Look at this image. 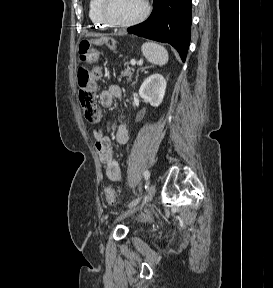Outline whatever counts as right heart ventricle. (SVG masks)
<instances>
[{
    "instance_id": "right-heart-ventricle-1",
    "label": "right heart ventricle",
    "mask_w": 273,
    "mask_h": 288,
    "mask_svg": "<svg viewBox=\"0 0 273 288\" xmlns=\"http://www.w3.org/2000/svg\"><path fill=\"white\" fill-rule=\"evenodd\" d=\"M100 0H90L89 2V17L92 23L98 27H106L107 25L99 15Z\"/></svg>"
}]
</instances>
